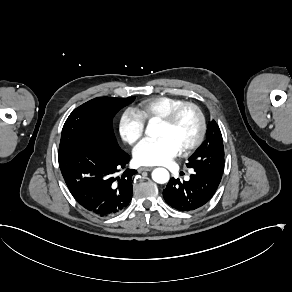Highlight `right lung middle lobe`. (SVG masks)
<instances>
[{"mask_svg": "<svg viewBox=\"0 0 292 292\" xmlns=\"http://www.w3.org/2000/svg\"><path fill=\"white\" fill-rule=\"evenodd\" d=\"M134 99L98 97L77 107L63 126L59 149L90 147L107 152L119 150L112 120L120 109Z\"/></svg>", "mask_w": 292, "mask_h": 292, "instance_id": "1", "label": "right lung middle lobe"}]
</instances>
